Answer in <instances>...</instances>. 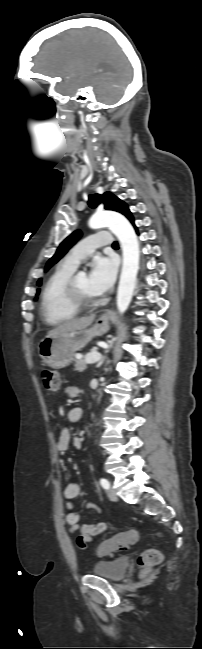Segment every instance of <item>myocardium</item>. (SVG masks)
Masks as SVG:
<instances>
[{
	"label": "myocardium",
	"mask_w": 202,
	"mask_h": 649,
	"mask_svg": "<svg viewBox=\"0 0 202 649\" xmlns=\"http://www.w3.org/2000/svg\"><path fill=\"white\" fill-rule=\"evenodd\" d=\"M77 277V275L72 276L67 283L66 294L68 299L79 310L95 306L98 302L96 296L83 294L77 286Z\"/></svg>",
	"instance_id": "f54148a6"
}]
</instances>
